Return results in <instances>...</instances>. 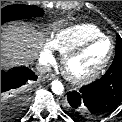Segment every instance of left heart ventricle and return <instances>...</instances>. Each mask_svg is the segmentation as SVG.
<instances>
[{
	"mask_svg": "<svg viewBox=\"0 0 122 122\" xmlns=\"http://www.w3.org/2000/svg\"><path fill=\"white\" fill-rule=\"evenodd\" d=\"M109 51L110 42L107 40L90 46L81 55L70 61L68 65L69 72L77 77L89 74L105 60Z\"/></svg>",
	"mask_w": 122,
	"mask_h": 122,
	"instance_id": "left-heart-ventricle-1",
	"label": "left heart ventricle"
}]
</instances>
